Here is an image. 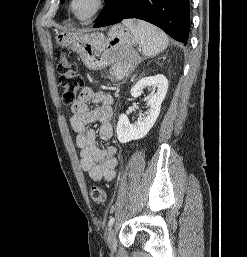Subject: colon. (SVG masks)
I'll return each instance as SVG.
<instances>
[{"instance_id": "5ec220e1", "label": "colon", "mask_w": 247, "mask_h": 257, "mask_svg": "<svg viewBox=\"0 0 247 257\" xmlns=\"http://www.w3.org/2000/svg\"><path fill=\"white\" fill-rule=\"evenodd\" d=\"M59 84L63 90L66 101L73 100L77 93L82 90L83 79L77 73V66L71 62L66 54H61L58 63ZM90 197L96 205H104L107 199L104 189L94 186L90 190Z\"/></svg>"}]
</instances>
